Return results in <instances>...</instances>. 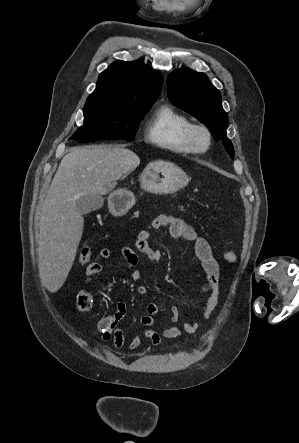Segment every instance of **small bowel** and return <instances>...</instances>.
I'll return each instance as SVG.
<instances>
[{"instance_id":"c3829d8e","label":"small bowel","mask_w":299,"mask_h":443,"mask_svg":"<svg viewBox=\"0 0 299 443\" xmlns=\"http://www.w3.org/2000/svg\"><path fill=\"white\" fill-rule=\"evenodd\" d=\"M168 226L170 234L175 239H184L194 244L195 253L200 260L204 273L205 283L201 288V292L207 294L206 307L203 313L205 319L209 318L212 311L218 303L219 297V266L213 255L209 243L200 236L196 230L184 222L182 219L170 216L159 215L150 224V227L141 230L135 240V247L143 254H145L151 263H159L162 260V253L159 250H154L150 247V230L159 229ZM122 256L126 262L127 267L132 271L131 280L138 282L142 279V271L137 269L138 255L132 247L125 246L121 250ZM111 252L108 249L100 250L98 259L90 263L85 271L87 282L91 278L102 271L101 261L108 260ZM137 291L142 296H148L149 290L146 286L140 285ZM92 303V295L87 290H81L76 299V305L79 310L86 311L90 308ZM159 311V307L155 303H149L146 307V314L141 318V323L146 329L143 332L137 333L130 341H126L123 331L119 328L120 320L126 315L127 307L123 302H118L114 314L108 315L100 319L98 322V330L104 341H112L114 346L120 350H134L138 348L144 339L148 340L153 345H159L162 338H176L181 335V329L177 326H169L163 328L160 332L153 330L151 327L155 324V316ZM172 320L175 322L179 317V308L172 307ZM198 328V322L191 320L184 323L183 329L187 333H194Z\"/></svg>"}]
</instances>
